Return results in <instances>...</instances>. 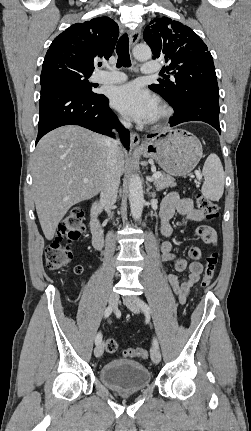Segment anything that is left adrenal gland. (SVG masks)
Masks as SVG:
<instances>
[{
  "instance_id": "a2214340",
  "label": "left adrenal gland",
  "mask_w": 251,
  "mask_h": 431,
  "mask_svg": "<svg viewBox=\"0 0 251 431\" xmlns=\"http://www.w3.org/2000/svg\"><path fill=\"white\" fill-rule=\"evenodd\" d=\"M148 188L151 189L152 187L148 184ZM152 195H155V191L152 193Z\"/></svg>"
}]
</instances>
